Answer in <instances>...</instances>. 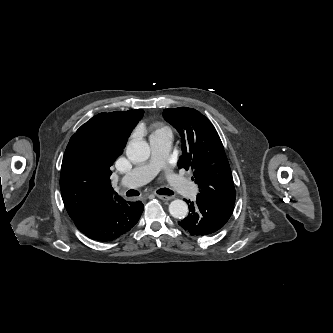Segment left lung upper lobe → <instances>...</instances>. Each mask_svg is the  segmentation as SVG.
Instances as JSON below:
<instances>
[{
    "mask_svg": "<svg viewBox=\"0 0 333 333\" xmlns=\"http://www.w3.org/2000/svg\"><path fill=\"white\" fill-rule=\"evenodd\" d=\"M163 116L181 135L178 168L192 170L199 195L224 204H235V188L220 137L211 122L195 109H164Z\"/></svg>",
    "mask_w": 333,
    "mask_h": 333,
    "instance_id": "5c2ea615",
    "label": "left lung upper lobe"
}]
</instances>
